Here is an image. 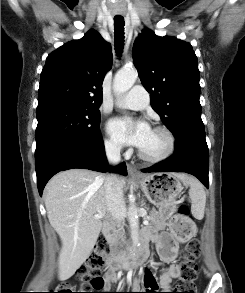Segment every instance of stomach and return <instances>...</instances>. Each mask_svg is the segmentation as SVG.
I'll use <instances>...</instances> for the list:
<instances>
[{"mask_svg": "<svg viewBox=\"0 0 245 293\" xmlns=\"http://www.w3.org/2000/svg\"><path fill=\"white\" fill-rule=\"evenodd\" d=\"M147 199L158 208V214L165 220L175 217L178 198L181 195L183 186L180 179L173 173H153L141 175L136 179ZM173 226L171 227L172 232ZM195 228H190L179 237L188 240L194 235Z\"/></svg>", "mask_w": 245, "mask_h": 293, "instance_id": "0dacf381", "label": "stomach"}]
</instances>
